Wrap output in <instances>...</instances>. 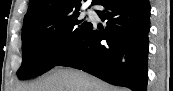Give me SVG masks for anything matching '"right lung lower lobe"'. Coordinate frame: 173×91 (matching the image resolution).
I'll list each match as a JSON object with an SVG mask.
<instances>
[{"mask_svg":"<svg viewBox=\"0 0 173 91\" xmlns=\"http://www.w3.org/2000/svg\"><path fill=\"white\" fill-rule=\"evenodd\" d=\"M107 26L91 25L83 40L56 66L83 70L108 83L146 91L149 0H98Z\"/></svg>","mask_w":173,"mask_h":91,"instance_id":"1","label":"right lung lower lobe"}]
</instances>
